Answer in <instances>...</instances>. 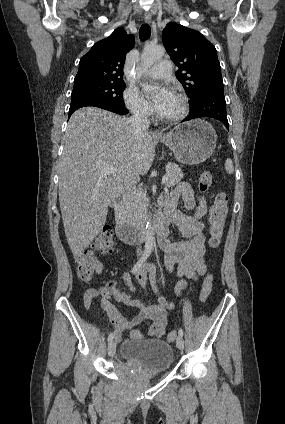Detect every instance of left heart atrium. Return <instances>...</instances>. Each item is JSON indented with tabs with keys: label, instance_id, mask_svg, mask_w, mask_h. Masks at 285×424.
I'll list each match as a JSON object with an SVG mask.
<instances>
[{
	"label": "left heart atrium",
	"instance_id": "1",
	"mask_svg": "<svg viewBox=\"0 0 285 424\" xmlns=\"http://www.w3.org/2000/svg\"><path fill=\"white\" fill-rule=\"evenodd\" d=\"M172 96H173V93L169 88L164 86L159 88V90L156 92V94L153 97V101H152L153 109L160 114L164 110V108L166 107V105L168 104Z\"/></svg>",
	"mask_w": 285,
	"mask_h": 424
}]
</instances>
